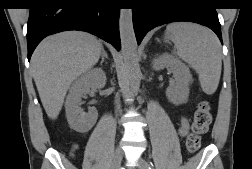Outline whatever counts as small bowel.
I'll list each match as a JSON object with an SVG mask.
<instances>
[{"label": "small bowel", "mask_w": 252, "mask_h": 169, "mask_svg": "<svg viewBox=\"0 0 252 169\" xmlns=\"http://www.w3.org/2000/svg\"><path fill=\"white\" fill-rule=\"evenodd\" d=\"M188 132V123L187 121L183 118L181 120V127H180V133L181 135H185ZM77 146H73V150H75Z\"/></svg>", "instance_id": "c3829d8e"}]
</instances>
